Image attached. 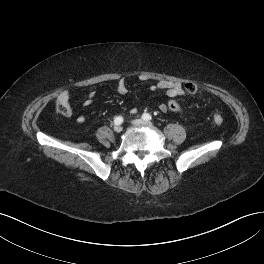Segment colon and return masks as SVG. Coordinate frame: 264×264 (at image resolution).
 Masks as SVG:
<instances>
[{
    "label": "colon",
    "mask_w": 264,
    "mask_h": 264,
    "mask_svg": "<svg viewBox=\"0 0 264 264\" xmlns=\"http://www.w3.org/2000/svg\"><path fill=\"white\" fill-rule=\"evenodd\" d=\"M184 88H185V91L191 95L196 94L198 91V86L193 82L186 83ZM166 107L168 110H170L171 112H174L176 114H182L183 113V109H182L181 105L175 100H169L166 104ZM57 111L62 115H66V113H67L66 108L60 104L57 105ZM213 121L215 124L221 125L223 123V117L219 113L216 112L213 114Z\"/></svg>",
    "instance_id": "obj_1"
}]
</instances>
